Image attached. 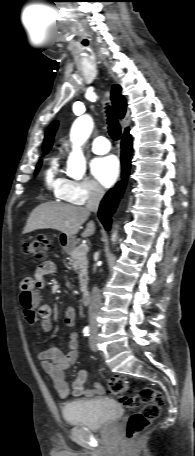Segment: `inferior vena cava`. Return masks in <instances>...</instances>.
I'll list each match as a JSON object with an SVG mask.
<instances>
[{
    "mask_svg": "<svg viewBox=\"0 0 195 456\" xmlns=\"http://www.w3.org/2000/svg\"><path fill=\"white\" fill-rule=\"evenodd\" d=\"M104 196V190L99 185L94 184L89 193V198L86 204V209L89 212H97L101 199ZM93 271L96 272V266H94ZM101 306V295L97 287H93L92 294L89 304V323L91 328L96 329L98 312Z\"/></svg>",
    "mask_w": 195,
    "mask_h": 456,
    "instance_id": "obj_1",
    "label": "inferior vena cava"
}]
</instances>
